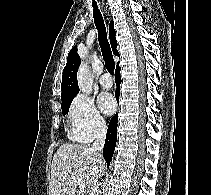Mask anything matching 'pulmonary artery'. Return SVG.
<instances>
[{"mask_svg": "<svg viewBox=\"0 0 211 195\" xmlns=\"http://www.w3.org/2000/svg\"><path fill=\"white\" fill-rule=\"evenodd\" d=\"M99 83L104 89H109L113 85L110 75L106 73L100 76Z\"/></svg>", "mask_w": 211, "mask_h": 195, "instance_id": "e3ab8cb5", "label": "pulmonary artery"}]
</instances>
